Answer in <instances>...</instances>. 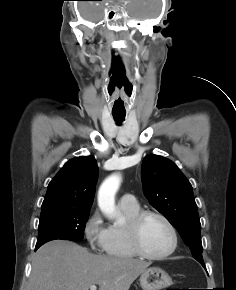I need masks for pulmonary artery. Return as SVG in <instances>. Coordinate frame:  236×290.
Listing matches in <instances>:
<instances>
[{
    "mask_svg": "<svg viewBox=\"0 0 236 290\" xmlns=\"http://www.w3.org/2000/svg\"><path fill=\"white\" fill-rule=\"evenodd\" d=\"M120 204L129 207H135L138 205L135 196L130 193H126L120 198Z\"/></svg>",
    "mask_w": 236,
    "mask_h": 290,
    "instance_id": "e3ab8cb5",
    "label": "pulmonary artery"
}]
</instances>
